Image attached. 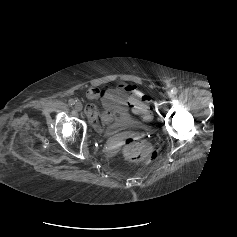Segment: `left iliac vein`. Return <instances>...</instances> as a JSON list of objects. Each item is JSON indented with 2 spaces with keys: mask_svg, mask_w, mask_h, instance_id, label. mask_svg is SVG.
Here are the masks:
<instances>
[{
  "mask_svg": "<svg viewBox=\"0 0 237 237\" xmlns=\"http://www.w3.org/2000/svg\"><path fill=\"white\" fill-rule=\"evenodd\" d=\"M172 96V93L171 92H167L166 93V97H171Z\"/></svg>",
  "mask_w": 237,
  "mask_h": 237,
  "instance_id": "left-iliac-vein-1",
  "label": "left iliac vein"
}]
</instances>
